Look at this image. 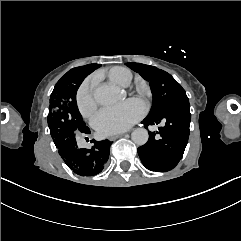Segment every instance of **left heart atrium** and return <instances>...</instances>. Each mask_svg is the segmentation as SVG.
Here are the masks:
<instances>
[{
    "instance_id": "39dd6f15",
    "label": "left heart atrium",
    "mask_w": 241,
    "mask_h": 241,
    "mask_svg": "<svg viewBox=\"0 0 241 241\" xmlns=\"http://www.w3.org/2000/svg\"><path fill=\"white\" fill-rule=\"evenodd\" d=\"M144 115V108L129 110L125 107L103 108L91 119L92 126L102 135H114L128 131Z\"/></svg>"
}]
</instances>
